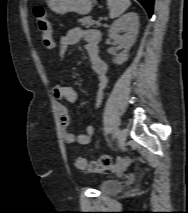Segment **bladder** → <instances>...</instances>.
I'll use <instances>...</instances> for the list:
<instances>
[{"label": "bladder", "instance_id": "bladder-1", "mask_svg": "<svg viewBox=\"0 0 188 213\" xmlns=\"http://www.w3.org/2000/svg\"><path fill=\"white\" fill-rule=\"evenodd\" d=\"M122 189V183L119 180L108 179L101 182L99 190L103 194H115Z\"/></svg>", "mask_w": 188, "mask_h": 213}]
</instances>
